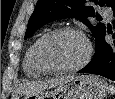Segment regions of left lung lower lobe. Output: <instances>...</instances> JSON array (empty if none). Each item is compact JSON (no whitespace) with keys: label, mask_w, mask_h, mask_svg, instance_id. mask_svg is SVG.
<instances>
[{"label":"left lung lower lobe","mask_w":115,"mask_h":99,"mask_svg":"<svg viewBox=\"0 0 115 99\" xmlns=\"http://www.w3.org/2000/svg\"><path fill=\"white\" fill-rule=\"evenodd\" d=\"M113 10L115 16V7ZM108 32L111 33L109 29ZM105 34L106 29L96 43V51L92 60L78 73L97 74L115 81V41L106 42ZM113 38L115 39V34H113Z\"/></svg>","instance_id":"obj_1"}]
</instances>
